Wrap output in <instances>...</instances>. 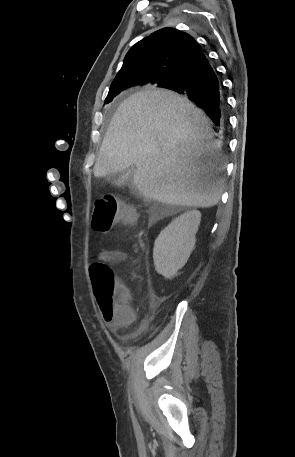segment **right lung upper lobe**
Wrapping results in <instances>:
<instances>
[{"mask_svg":"<svg viewBox=\"0 0 295 457\" xmlns=\"http://www.w3.org/2000/svg\"><path fill=\"white\" fill-rule=\"evenodd\" d=\"M200 54L202 47L189 34L170 27L160 29L131 47L111 87L121 84L162 86L175 79Z\"/></svg>","mask_w":295,"mask_h":457,"instance_id":"1","label":"right lung upper lobe"}]
</instances>
